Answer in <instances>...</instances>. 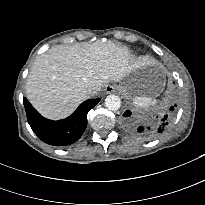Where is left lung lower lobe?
Segmentation results:
<instances>
[{
  "instance_id": "left-lung-lower-lobe-1",
  "label": "left lung lower lobe",
  "mask_w": 205,
  "mask_h": 205,
  "mask_svg": "<svg viewBox=\"0 0 205 205\" xmlns=\"http://www.w3.org/2000/svg\"><path fill=\"white\" fill-rule=\"evenodd\" d=\"M173 110L174 107L172 106L160 117H156V120H154L153 123L147 124L146 126H139L135 123V121L130 117L131 112L127 110L123 114V116L126 117L124 124L125 127L135 136L145 140L154 139L168 129L173 117V113L171 112Z\"/></svg>"
}]
</instances>
